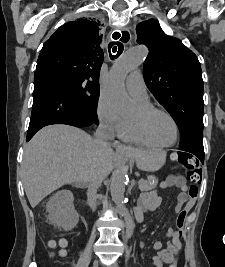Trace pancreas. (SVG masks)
<instances>
[{"label":"pancreas","instance_id":"obj_1","mask_svg":"<svg viewBox=\"0 0 225 267\" xmlns=\"http://www.w3.org/2000/svg\"><path fill=\"white\" fill-rule=\"evenodd\" d=\"M157 184L158 178L155 176H149L147 180H142V182L139 184V189L142 192H147L156 188Z\"/></svg>","mask_w":225,"mask_h":267}]
</instances>
